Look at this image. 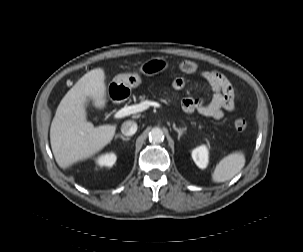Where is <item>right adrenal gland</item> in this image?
Returning a JSON list of instances; mask_svg holds the SVG:
<instances>
[{"label": "right adrenal gland", "instance_id": "right-adrenal-gland-1", "mask_svg": "<svg viewBox=\"0 0 303 252\" xmlns=\"http://www.w3.org/2000/svg\"><path fill=\"white\" fill-rule=\"evenodd\" d=\"M116 137H120L123 141H128V140H130V137H124V136L121 135V134L116 135Z\"/></svg>", "mask_w": 303, "mask_h": 252}]
</instances>
